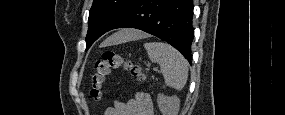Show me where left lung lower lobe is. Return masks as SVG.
Returning a JSON list of instances; mask_svg holds the SVG:
<instances>
[{"mask_svg": "<svg viewBox=\"0 0 285 115\" xmlns=\"http://www.w3.org/2000/svg\"><path fill=\"white\" fill-rule=\"evenodd\" d=\"M192 0H134L109 28H136L175 47L191 64Z\"/></svg>", "mask_w": 285, "mask_h": 115, "instance_id": "1", "label": "left lung lower lobe"}]
</instances>
